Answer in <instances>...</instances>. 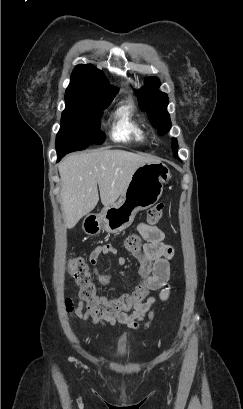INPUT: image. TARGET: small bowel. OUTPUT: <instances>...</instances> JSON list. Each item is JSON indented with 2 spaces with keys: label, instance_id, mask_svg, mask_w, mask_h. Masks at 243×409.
I'll return each instance as SVG.
<instances>
[{
  "label": "small bowel",
  "instance_id": "small-bowel-1",
  "mask_svg": "<svg viewBox=\"0 0 243 409\" xmlns=\"http://www.w3.org/2000/svg\"><path fill=\"white\" fill-rule=\"evenodd\" d=\"M138 232L145 241L141 255L135 256L140 263V282L138 287L147 292L159 291V298L167 301L170 297V276L169 261L173 256V248L164 243V232L157 226H149L145 223L138 225ZM117 254V249L111 244L96 246L89 254L88 260L93 268L97 281L106 285L112 280L110 274H102L99 270V260L102 256H113ZM120 262L124 260L120 258ZM156 298L148 296L145 301L134 304L128 310L110 314L94 309H87L83 312V302H78L77 313L87 323L92 325H123L130 329H138L142 323L148 327L154 317V304ZM131 310V312H128Z\"/></svg>",
  "mask_w": 243,
  "mask_h": 409
}]
</instances>
